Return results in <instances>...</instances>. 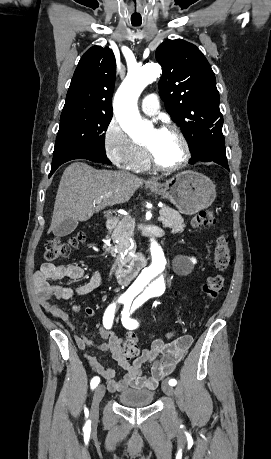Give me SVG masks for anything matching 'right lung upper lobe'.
<instances>
[{"mask_svg":"<svg viewBox=\"0 0 271 459\" xmlns=\"http://www.w3.org/2000/svg\"><path fill=\"white\" fill-rule=\"evenodd\" d=\"M116 62L108 47H91L81 57L62 113L112 114Z\"/></svg>","mask_w":271,"mask_h":459,"instance_id":"obj_1","label":"right lung upper lobe"}]
</instances>
